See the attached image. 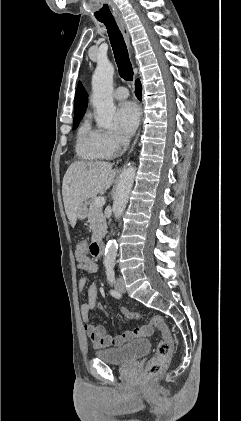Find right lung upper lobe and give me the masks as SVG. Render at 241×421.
<instances>
[{
    "mask_svg": "<svg viewBox=\"0 0 241 421\" xmlns=\"http://www.w3.org/2000/svg\"><path fill=\"white\" fill-rule=\"evenodd\" d=\"M88 105L87 93L81 82L78 83L75 94L74 118L83 117Z\"/></svg>",
    "mask_w": 241,
    "mask_h": 421,
    "instance_id": "right-lung-upper-lobe-1",
    "label": "right lung upper lobe"
}]
</instances>
